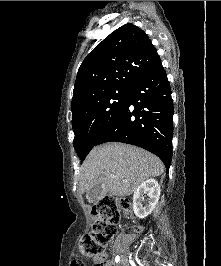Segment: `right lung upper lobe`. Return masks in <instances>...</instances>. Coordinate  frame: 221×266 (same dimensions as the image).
Masks as SVG:
<instances>
[{"mask_svg": "<svg viewBox=\"0 0 221 266\" xmlns=\"http://www.w3.org/2000/svg\"><path fill=\"white\" fill-rule=\"evenodd\" d=\"M160 64L157 50L143 30L131 23L121 26L99 43L79 67L72 116L90 97L113 88H130Z\"/></svg>", "mask_w": 221, "mask_h": 266, "instance_id": "right-lung-upper-lobe-1", "label": "right lung upper lobe"}]
</instances>
